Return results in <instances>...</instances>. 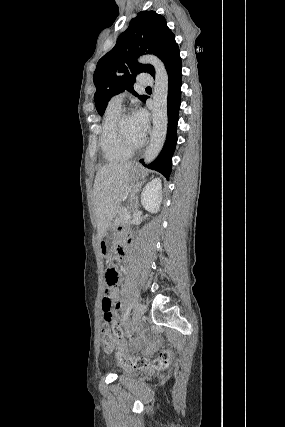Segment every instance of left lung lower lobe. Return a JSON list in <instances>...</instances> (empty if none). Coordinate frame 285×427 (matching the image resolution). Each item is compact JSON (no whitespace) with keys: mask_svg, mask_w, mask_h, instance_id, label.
<instances>
[{"mask_svg":"<svg viewBox=\"0 0 285 427\" xmlns=\"http://www.w3.org/2000/svg\"><path fill=\"white\" fill-rule=\"evenodd\" d=\"M181 57L180 53L175 56L170 65L167 68L168 72V98H167V110H168V130L167 137L164 147L150 165L149 168L156 170L163 174L166 178H169L172 167V156L175 151L177 143L176 127L178 123V113L181 104ZM143 163V160H140Z\"/></svg>","mask_w":285,"mask_h":427,"instance_id":"1","label":"left lung lower lobe"}]
</instances>
